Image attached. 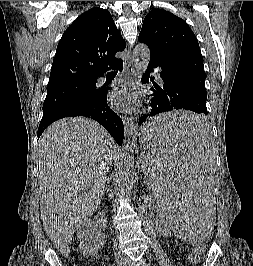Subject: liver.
I'll list each match as a JSON object with an SVG mask.
<instances>
[{
    "instance_id": "liver-1",
    "label": "liver",
    "mask_w": 253,
    "mask_h": 266,
    "mask_svg": "<svg viewBox=\"0 0 253 266\" xmlns=\"http://www.w3.org/2000/svg\"><path fill=\"white\" fill-rule=\"evenodd\" d=\"M117 154L118 147L109 133L85 117L56 121L40 137L41 219L61 254L70 253L75 231L98 209Z\"/></svg>"
}]
</instances>
